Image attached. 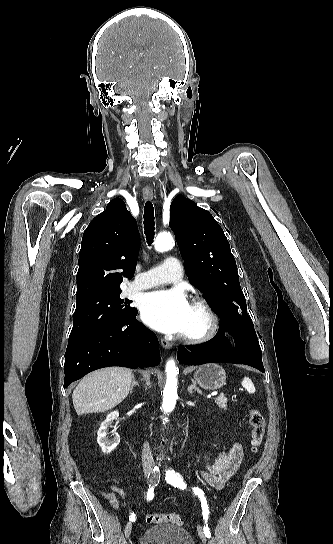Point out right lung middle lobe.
Wrapping results in <instances>:
<instances>
[{
	"label": "right lung middle lobe",
	"mask_w": 333,
	"mask_h": 544,
	"mask_svg": "<svg viewBox=\"0 0 333 544\" xmlns=\"http://www.w3.org/2000/svg\"><path fill=\"white\" fill-rule=\"evenodd\" d=\"M121 290L107 291L76 299L70 341L80 339L108 325L118 323L136 311L131 301L120 298Z\"/></svg>",
	"instance_id": "dd1d6c3e"
}]
</instances>
